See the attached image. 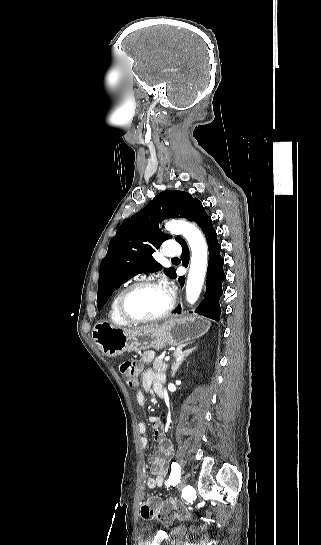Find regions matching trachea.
Segmentation results:
<instances>
[{"label": "trachea", "instance_id": "trachea-1", "mask_svg": "<svg viewBox=\"0 0 321 545\" xmlns=\"http://www.w3.org/2000/svg\"><path fill=\"white\" fill-rule=\"evenodd\" d=\"M171 261H172V262H174V261H180V259H178V257H176V258H172Z\"/></svg>", "mask_w": 321, "mask_h": 545}]
</instances>
